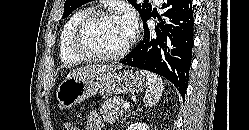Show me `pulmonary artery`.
Segmentation results:
<instances>
[{"mask_svg":"<svg viewBox=\"0 0 249 130\" xmlns=\"http://www.w3.org/2000/svg\"><path fill=\"white\" fill-rule=\"evenodd\" d=\"M155 2H157V3H160L162 0H154Z\"/></svg>","mask_w":249,"mask_h":130,"instance_id":"pulmonary-artery-1","label":"pulmonary artery"}]
</instances>
